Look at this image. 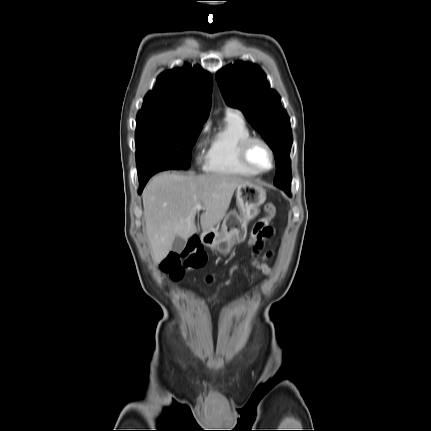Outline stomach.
<instances>
[{"mask_svg":"<svg viewBox=\"0 0 431 431\" xmlns=\"http://www.w3.org/2000/svg\"><path fill=\"white\" fill-rule=\"evenodd\" d=\"M266 200L263 187L248 182L238 186L236 204L238 210L225 215L220 231L212 230L203 234L204 245L221 254L231 251L235 243L243 242L247 235V224L259 212V207Z\"/></svg>","mask_w":431,"mask_h":431,"instance_id":"1","label":"stomach"}]
</instances>
